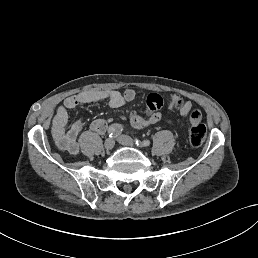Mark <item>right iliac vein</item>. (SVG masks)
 I'll list each match as a JSON object with an SVG mask.
<instances>
[{"instance_id": "63e3f726", "label": "right iliac vein", "mask_w": 258, "mask_h": 258, "mask_svg": "<svg viewBox=\"0 0 258 258\" xmlns=\"http://www.w3.org/2000/svg\"><path fill=\"white\" fill-rule=\"evenodd\" d=\"M114 145H115V142H114V140L111 139V138L106 139V140L104 141V143H103V146H104L105 150H107V151L112 150V148L114 147Z\"/></svg>"}]
</instances>
